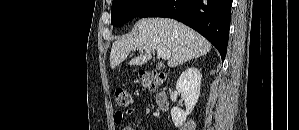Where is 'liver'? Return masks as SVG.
Instances as JSON below:
<instances>
[{"label": "liver", "instance_id": "liver-1", "mask_svg": "<svg viewBox=\"0 0 299 130\" xmlns=\"http://www.w3.org/2000/svg\"><path fill=\"white\" fill-rule=\"evenodd\" d=\"M167 49L171 56L168 66L173 68L191 59L207 54L211 44L188 26L169 18H144L139 20L128 37L113 43L110 66L115 69L135 50L144 54L132 59L130 65H142L149 61L158 49Z\"/></svg>", "mask_w": 299, "mask_h": 130}]
</instances>
